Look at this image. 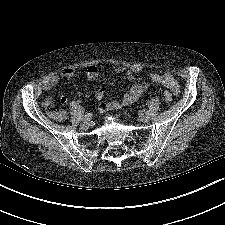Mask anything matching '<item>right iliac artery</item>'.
Listing matches in <instances>:
<instances>
[{"label": "right iliac artery", "instance_id": "1", "mask_svg": "<svg viewBox=\"0 0 225 225\" xmlns=\"http://www.w3.org/2000/svg\"><path fill=\"white\" fill-rule=\"evenodd\" d=\"M92 113L91 112H88V113H86L85 115H84V117H83V121H88V120H90L91 118H92Z\"/></svg>", "mask_w": 225, "mask_h": 225}]
</instances>
